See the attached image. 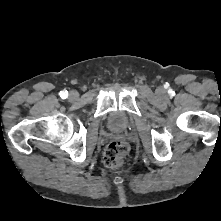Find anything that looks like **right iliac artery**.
<instances>
[{
	"instance_id": "right-iliac-artery-1",
	"label": "right iliac artery",
	"mask_w": 221,
	"mask_h": 221,
	"mask_svg": "<svg viewBox=\"0 0 221 221\" xmlns=\"http://www.w3.org/2000/svg\"><path fill=\"white\" fill-rule=\"evenodd\" d=\"M60 95H61L62 99H65L67 97V91H61Z\"/></svg>"
}]
</instances>
